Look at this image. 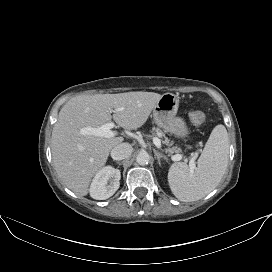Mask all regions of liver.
I'll list each match as a JSON object with an SVG mask.
<instances>
[{
  "instance_id": "obj_1",
  "label": "liver",
  "mask_w": 272,
  "mask_h": 272,
  "mask_svg": "<svg viewBox=\"0 0 272 272\" xmlns=\"http://www.w3.org/2000/svg\"><path fill=\"white\" fill-rule=\"evenodd\" d=\"M160 98L158 93L142 91L71 98L59 112L51 140L53 163L63 183L75 194L87 195L91 179L104 167L110 151L123 142L122 137L86 135L81 129L99 127L113 118L120 127L136 130Z\"/></svg>"
}]
</instances>
